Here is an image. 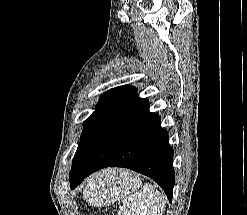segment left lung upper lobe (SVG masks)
<instances>
[{
	"instance_id": "obj_1",
	"label": "left lung upper lobe",
	"mask_w": 247,
	"mask_h": 215,
	"mask_svg": "<svg viewBox=\"0 0 247 215\" xmlns=\"http://www.w3.org/2000/svg\"><path fill=\"white\" fill-rule=\"evenodd\" d=\"M137 98L136 89L132 86H119L104 93L96 110L83 123V133L78 148L88 139H98Z\"/></svg>"
}]
</instances>
